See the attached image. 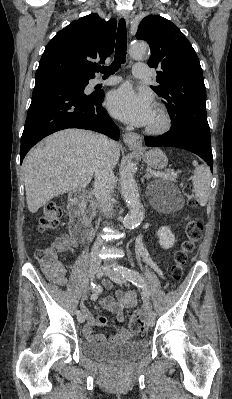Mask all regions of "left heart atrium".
Here are the masks:
<instances>
[{
  "label": "left heart atrium",
  "mask_w": 232,
  "mask_h": 399,
  "mask_svg": "<svg viewBox=\"0 0 232 399\" xmlns=\"http://www.w3.org/2000/svg\"><path fill=\"white\" fill-rule=\"evenodd\" d=\"M107 109L116 119L136 127H146L154 117L155 107L146 93L121 87L110 93Z\"/></svg>",
  "instance_id": "39dd6f15"
}]
</instances>
